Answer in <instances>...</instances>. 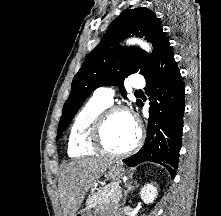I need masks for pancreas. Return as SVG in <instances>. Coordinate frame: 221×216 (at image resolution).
I'll return each mask as SVG.
<instances>
[{
  "instance_id": "pancreas-1",
  "label": "pancreas",
  "mask_w": 221,
  "mask_h": 216,
  "mask_svg": "<svg viewBox=\"0 0 221 216\" xmlns=\"http://www.w3.org/2000/svg\"><path fill=\"white\" fill-rule=\"evenodd\" d=\"M121 198V187L118 183H113L109 187H104L93 194L87 201L89 207L108 206L113 203H118Z\"/></svg>"
}]
</instances>
